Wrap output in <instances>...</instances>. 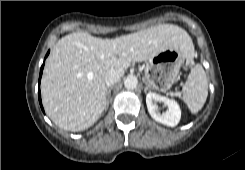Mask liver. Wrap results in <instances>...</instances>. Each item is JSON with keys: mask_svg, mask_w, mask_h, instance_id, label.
I'll return each mask as SVG.
<instances>
[{"mask_svg": "<svg viewBox=\"0 0 245 170\" xmlns=\"http://www.w3.org/2000/svg\"><path fill=\"white\" fill-rule=\"evenodd\" d=\"M167 49L194 54L188 33L173 24L154 26L114 39L75 32L62 37L48 57L41 80L45 111L61 129L78 132L92 126L107 104L105 74L123 71Z\"/></svg>", "mask_w": 245, "mask_h": 170, "instance_id": "obj_1", "label": "liver"}]
</instances>
